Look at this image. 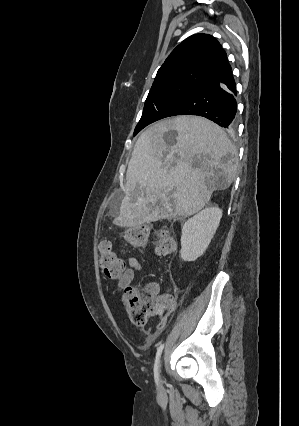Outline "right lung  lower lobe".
Instances as JSON below:
<instances>
[{
  "mask_svg": "<svg viewBox=\"0 0 299 426\" xmlns=\"http://www.w3.org/2000/svg\"><path fill=\"white\" fill-rule=\"evenodd\" d=\"M235 95L236 84L229 70L180 98L159 119L175 115H199L221 127L232 128L237 111Z\"/></svg>",
  "mask_w": 299,
  "mask_h": 426,
  "instance_id": "right-lung-lower-lobe-1",
  "label": "right lung lower lobe"
}]
</instances>
